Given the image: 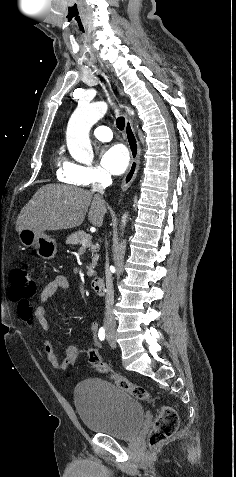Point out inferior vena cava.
Listing matches in <instances>:
<instances>
[{
    "label": "inferior vena cava",
    "mask_w": 236,
    "mask_h": 477,
    "mask_svg": "<svg viewBox=\"0 0 236 477\" xmlns=\"http://www.w3.org/2000/svg\"><path fill=\"white\" fill-rule=\"evenodd\" d=\"M112 183L111 177L105 176L97 184L93 185L92 191L96 193L97 196H100L104 193V189ZM106 297H105V323L107 325H115V318L113 313L114 305V290H113V278L112 273L109 268L108 261L106 262Z\"/></svg>",
    "instance_id": "inferior-vena-cava-1"
}]
</instances>
